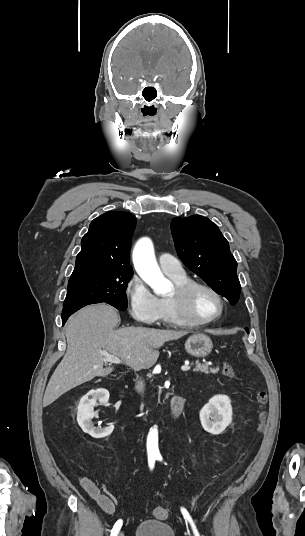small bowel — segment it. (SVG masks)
<instances>
[{"label": "small bowel", "instance_id": "obj_1", "mask_svg": "<svg viewBox=\"0 0 305 536\" xmlns=\"http://www.w3.org/2000/svg\"><path fill=\"white\" fill-rule=\"evenodd\" d=\"M79 483L106 514L111 515L115 512L114 502L108 496L101 493L100 489L91 479L79 477Z\"/></svg>", "mask_w": 305, "mask_h": 536}]
</instances>
